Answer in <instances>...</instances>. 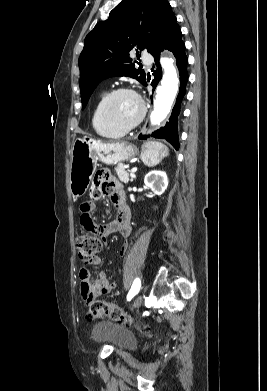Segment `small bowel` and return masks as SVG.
Returning a JSON list of instances; mask_svg holds the SVG:
<instances>
[{
	"mask_svg": "<svg viewBox=\"0 0 267 391\" xmlns=\"http://www.w3.org/2000/svg\"><path fill=\"white\" fill-rule=\"evenodd\" d=\"M90 200L80 205V224L88 233L106 239L112 233H119L128 239L132 233L130 225V210L126 204L124 192L119 182L107 169H99L93 176L90 187ZM102 197H109L116 207L115 219L104 225H98L92 218L95 209V201ZM129 242L126 241L120 251V256H124L128 250ZM101 264V259L95 256L92 261L83 266L79 272L80 295L87 304L102 294L113 291L115 282H110L103 272H99L94 278L90 273V268H96Z\"/></svg>",
	"mask_w": 267,
	"mask_h": 391,
	"instance_id": "obj_1",
	"label": "small bowel"
}]
</instances>
